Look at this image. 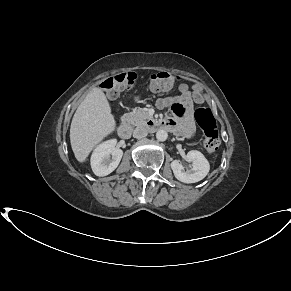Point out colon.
<instances>
[{
  "label": "colon",
  "mask_w": 291,
  "mask_h": 291,
  "mask_svg": "<svg viewBox=\"0 0 291 291\" xmlns=\"http://www.w3.org/2000/svg\"><path fill=\"white\" fill-rule=\"evenodd\" d=\"M137 76L135 73H120L106 79L102 84V89L108 97L114 99L118 97L121 90L132 89L135 85ZM179 80V76L167 71H160L150 75L149 86L154 92L170 90ZM196 97L200 98L197 92ZM179 111H181L179 109ZM195 119L204 133L203 146L206 150L214 152L219 147V133L216 120L212 112L203 107L197 108Z\"/></svg>",
  "instance_id": "5ec220e1"
}]
</instances>
